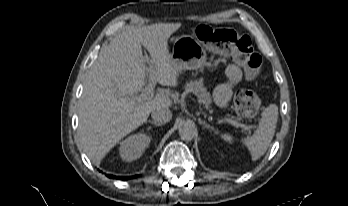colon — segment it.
I'll use <instances>...</instances> for the list:
<instances>
[{
    "label": "colon",
    "mask_w": 348,
    "mask_h": 206,
    "mask_svg": "<svg viewBox=\"0 0 348 206\" xmlns=\"http://www.w3.org/2000/svg\"><path fill=\"white\" fill-rule=\"evenodd\" d=\"M193 35L201 42L211 45L219 54L230 55L243 67L246 77L256 78L262 66V58L257 54L251 39L233 29L200 25ZM262 102L258 95L250 90H238L234 96L236 113L243 118H254L261 110Z\"/></svg>",
    "instance_id": "obj_1"
}]
</instances>
